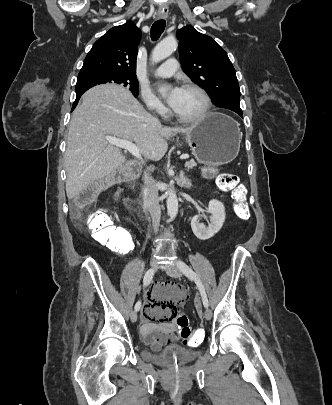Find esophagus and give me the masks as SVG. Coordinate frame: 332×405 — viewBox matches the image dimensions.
Instances as JSON below:
<instances>
[{"mask_svg":"<svg viewBox=\"0 0 332 405\" xmlns=\"http://www.w3.org/2000/svg\"><path fill=\"white\" fill-rule=\"evenodd\" d=\"M158 18L164 19L168 16V11L167 10H159L158 13Z\"/></svg>","mask_w":332,"mask_h":405,"instance_id":"34e87169","label":"esophagus"}]
</instances>
